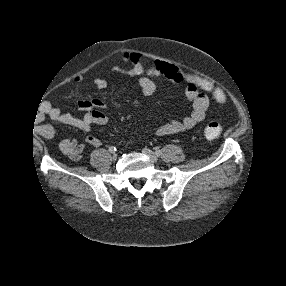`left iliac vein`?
I'll return each mask as SVG.
<instances>
[{"label":"left iliac vein","mask_w":286,"mask_h":286,"mask_svg":"<svg viewBox=\"0 0 286 286\" xmlns=\"http://www.w3.org/2000/svg\"><path fill=\"white\" fill-rule=\"evenodd\" d=\"M142 152L148 156L152 162H157L159 159L158 156L148 148H144Z\"/></svg>","instance_id":"obj_1"}]
</instances>
